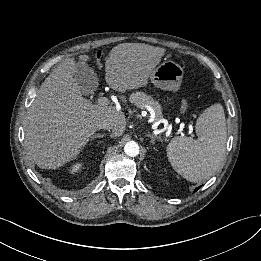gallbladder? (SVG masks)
I'll list each match as a JSON object with an SVG mask.
<instances>
[{
  "instance_id": "obj_1",
  "label": "gallbladder",
  "mask_w": 261,
  "mask_h": 261,
  "mask_svg": "<svg viewBox=\"0 0 261 261\" xmlns=\"http://www.w3.org/2000/svg\"><path fill=\"white\" fill-rule=\"evenodd\" d=\"M74 77L80 86L81 93L83 94H89L98 86L97 75L87 63H77Z\"/></svg>"
}]
</instances>
